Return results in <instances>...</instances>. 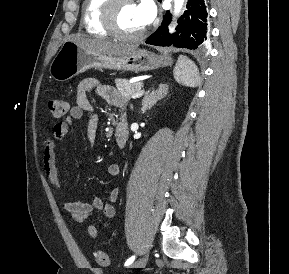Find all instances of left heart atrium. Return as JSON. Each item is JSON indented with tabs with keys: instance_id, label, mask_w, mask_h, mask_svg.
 I'll return each mask as SVG.
<instances>
[{
	"instance_id": "39dd6f15",
	"label": "left heart atrium",
	"mask_w": 289,
	"mask_h": 274,
	"mask_svg": "<svg viewBox=\"0 0 289 274\" xmlns=\"http://www.w3.org/2000/svg\"><path fill=\"white\" fill-rule=\"evenodd\" d=\"M137 10L144 25L151 23L156 16V6L153 0H141L137 4Z\"/></svg>"
}]
</instances>
